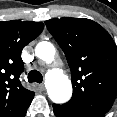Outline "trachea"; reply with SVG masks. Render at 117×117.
I'll return each instance as SVG.
<instances>
[{"label":"trachea","instance_id":"obj_1","mask_svg":"<svg viewBox=\"0 0 117 117\" xmlns=\"http://www.w3.org/2000/svg\"><path fill=\"white\" fill-rule=\"evenodd\" d=\"M28 81L41 83L43 81V76L39 71L31 70L28 74Z\"/></svg>","mask_w":117,"mask_h":117}]
</instances>
